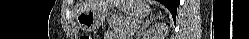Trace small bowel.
Instances as JSON below:
<instances>
[{
  "instance_id": "1",
  "label": "small bowel",
  "mask_w": 249,
  "mask_h": 39,
  "mask_svg": "<svg viewBox=\"0 0 249 39\" xmlns=\"http://www.w3.org/2000/svg\"><path fill=\"white\" fill-rule=\"evenodd\" d=\"M103 39H115V35L112 31H108L104 36Z\"/></svg>"
}]
</instances>
